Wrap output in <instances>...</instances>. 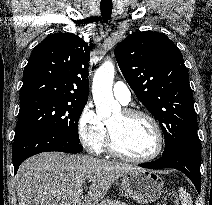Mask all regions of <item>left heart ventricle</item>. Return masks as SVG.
I'll return each mask as SVG.
<instances>
[{"label": "left heart ventricle", "mask_w": 212, "mask_h": 205, "mask_svg": "<svg viewBox=\"0 0 212 205\" xmlns=\"http://www.w3.org/2000/svg\"><path fill=\"white\" fill-rule=\"evenodd\" d=\"M108 126L117 147L129 156L149 154L155 145L154 132L149 122L141 117H126L123 112L109 120Z\"/></svg>", "instance_id": "b2bd125f"}]
</instances>
